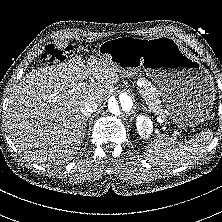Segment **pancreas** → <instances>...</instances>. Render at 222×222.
I'll list each match as a JSON object with an SVG mask.
<instances>
[{"label":"pancreas","instance_id":"obj_1","mask_svg":"<svg viewBox=\"0 0 222 222\" xmlns=\"http://www.w3.org/2000/svg\"><path fill=\"white\" fill-rule=\"evenodd\" d=\"M139 81L143 86V88L140 90V93L146 101L149 109L156 115L164 118V110L162 109L161 101L158 98L157 89L145 78H140Z\"/></svg>","mask_w":222,"mask_h":222}]
</instances>
